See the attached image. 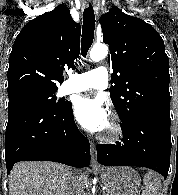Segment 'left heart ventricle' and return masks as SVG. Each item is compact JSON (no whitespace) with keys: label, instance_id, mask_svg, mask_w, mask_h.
<instances>
[{"label":"left heart ventricle","instance_id":"left-heart-ventricle-1","mask_svg":"<svg viewBox=\"0 0 178 195\" xmlns=\"http://www.w3.org/2000/svg\"><path fill=\"white\" fill-rule=\"evenodd\" d=\"M110 127H111V123H110V119L108 120V123L106 124V126L104 127V129L102 130L103 133H108L110 131Z\"/></svg>","mask_w":178,"mask_h":195}]
</instances>
